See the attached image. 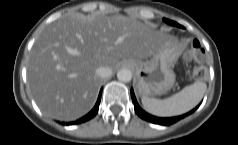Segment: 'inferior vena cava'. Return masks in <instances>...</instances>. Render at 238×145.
<instances>
[{"label":"inferior vena cava","instance_id":"inferior-vena-cava-1","mask_svg":"<svg viewBox=\"0 0 238 145\" xmlns=\"http://www.w3.org/2000/svg\"><path fill=\"white\" fill-rule=\"evenodd\" d=\"M96 74L100 77V78H107L110 77L112 75V69L109 67H98L96 69Z\"/></svg>","mask_w":238,"mask_h":145}]
</instances>
